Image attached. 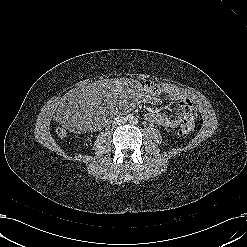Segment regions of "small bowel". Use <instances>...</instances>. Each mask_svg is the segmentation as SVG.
<instances>
[{
  "mask_svg": "<svg viewBox=\"0 0 247 247\" xmlns=\"http://www.w3.org/2000/svg\"><path fill=\"white\" fill-rule=\"evenodd\" d=\"M159 85L163 91V95L170 101L177 103L178 111L176 117H171L166 113H149L146 118L150 123L160 125L165 128L176 129L188 127L190 130L195 125V108L193 102L185 96L176 86L168 83H150ZM152 101L157 102L158 99L152 97Z\"/></svg>",
  "mask_w": 247,
  "mask_h": 247,
  "instance_id": "1",
  "label": "small bowel"
}]
</instances>
